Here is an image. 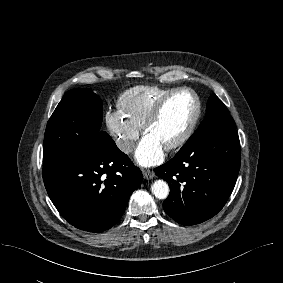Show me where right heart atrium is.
<instances>
[{
  "mask_svg": "<svg viewBox=\"0 0 283 283\" xmlns=\"http://www.w3.org/2000/svg\"><path fill=\"white\" fill-rule=\"evenodd\" d=\"M105 123L118 148L130 154L139 138L140 129L130 123L120 110H108L105 114Z\"/></svg>",
  "mask_w": 283,
  "mask_h": 283,
  "instance_id": "d8ad5b80",
  "label": "right heart atrium"
}]
</instances>
